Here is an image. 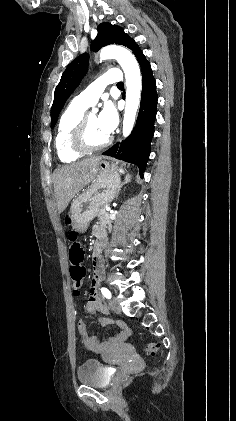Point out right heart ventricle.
<instances>
[{"label": "right heart ventricle", "instance_id": "right-heart-ventricle-1", "mask_svg": "<svg viewBox=\"0 0 236 421\" xmlns=\"http://www.w3.org/2000/svg\"><path fill=\"white\" fill-rule=\"evenodd\" d=\"M86 107L72 101L62 113L55 137V147L59 159L63 163H73L77 161L82 154L75 151L71 146L70 134L76 121L84 113Z\"/></svg>", "mask_w": 236, "mask_h": 421}]
</instances>
